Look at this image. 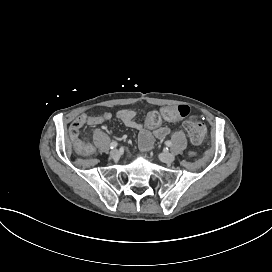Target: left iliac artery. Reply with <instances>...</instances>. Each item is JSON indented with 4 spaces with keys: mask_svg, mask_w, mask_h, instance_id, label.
Wrapping results in <instances>:
<instances>
[{
    "mask_svg": "<svg viewBox=\"0 0 272 272\" xmlns=\"http://www.w3.org/2000/svg\"><path fill=\"white\" fill-rule=\"evenodd\" d=\"M165 144H166V146H168V147H170V146L172 145L171 141H169V140L166 141Z\"/></svg>",
    "mask_w": 272,
    "mask_h": 272,
    "instance_id": "obj_1",
    "label": "left iliac artery"
}]
</instances>
